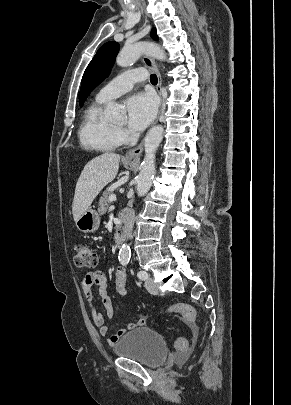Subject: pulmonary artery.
<instances>
[{"instance_id":"1","label":"pulmonary artery","mask_w":291,"mask_h":405,"mask_svg":"<svg viewBox=\"0 0 291 405\" xmlns=\"http://www.w3.org/2000/svg\"><path fill=\"white\" fill-rule=\"evenodd\" d=\"M147 73L144 69H133L121 73L105 86L97 94V98L109 101L131 90L135 83L146 80Z\"/></svg>"}]
</instances>
